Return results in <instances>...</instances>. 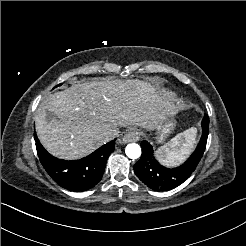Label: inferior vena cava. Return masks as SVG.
I'll return each mask as SVG.
<instances>
[{"label":"inferior vena cava","mask_w":246,"mask_h":246,"mask_svg":"<svg viewBox=\"0 0 246 246\" xmlns=\"http://www.w3.org/2000/svg\"><path fill=\"white\" fill-rule=\"evenodd\" d=\"M118 133H119V131L117 129H112L109 132L108 138L109 139H113V138H115L118 135Z\"/></svg>","instance_id":"602c4592"}]
</instances>
